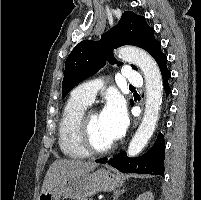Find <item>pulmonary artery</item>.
<instances>
[{
  "instance_id": "obj_1",
  "label": "pulmonary artery",
  "mask_w": 201,
  "mask_h": 200,
  "mask_svg": "<svg viewBox=\"0 0 201 200\" xmlns=\"http://www.w3.org/2000/svg\"><path fill=\"white\" fill-rule=\"evenodd\" d=\"M122 72L128 83L137 86H140L142 84V77L140 73L135 72L128 67L123 68ZM102 88V81L91 80L75 88L73 91V95L90 104L93 102L94 98Z\"/></svg>"
}]
</instances>
